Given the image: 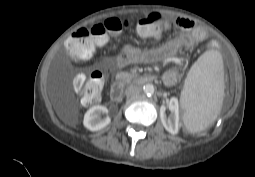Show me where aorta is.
<instances>
[{
	"mask_svg": "<svg viewBox=\"0 0 255 177\" xmlns=\"http://www.w3.org/2000/svg\"><path fill=\"white\" fill-rule=\"evenodd\" d=\"M143 91L146 95H152L155 91V88H154L153 84H145L143 86Z\"/></svg>",
	"mask_w": 255,
	"mask_h": 177,
	"instance_id": "aorta-1",
	"label": "aorta"
}]
</instances>
